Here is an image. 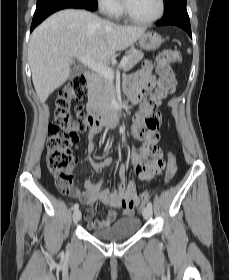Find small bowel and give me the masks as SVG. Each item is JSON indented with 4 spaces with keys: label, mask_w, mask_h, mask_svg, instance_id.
I'll return each instance as SVG.
<instances>
[{
    "label": "small bowel",
    "mask_w": 229,
    "mask_h": 280,
    "mask_svg": "<svg viewBox=\"0 0 229 280\" xmlns=\"http://www.w3.org/2000/svg\"><path fill=\"white\" fill-rule=\"evenodd\" d=\"M152 70L153 68L150 64H144L139 71L129 75L124 83L125 95L131 102L139 101L143 93L151 90L157 85V88L153 94V103L151 105H147L144 102L141 105L139 113H143L145 115H153V109L158 106L168 94L171 93L161 85L160 81L156 80L155 76L152 74ZM175 82L176 80L174 79V86ZM156 114L159 115L158 113ZM100 132L101 130H90L88 135L89 142L87 147V155L85 159L96 172L102 175L107 168L115 163V158L108 157L99 163L95 162L92 159L91 153L95 149L94 137L97 136ZM159 137L160 134L157 128L148 130L145 134L144 145L135 148L132 152L131 160L133 171L139 180L144 181L154 178V173L147 169L148 165L145 163V157L148 149L156 145ZM125 174V169L122 166H119V175L121 179L125 178ZM68 194L71 197L79 200L87 207L85 211V218L86 220H88L87 227L89 229L106 228L110 226L118 216L117 212L114 209H111L109 210L106 218L91 221L94 216L93 205L96 202H100L107 207L120 209L123 216L129 217L134 215L135 208L128 206L127 202L130 199L138 198L136 185L133 181L129 182L128 184H125L122 181L116 190L110 191L103 188L102 182L94 183L91 180H85L83 184V190L76 189L75 191L68 192Z\"/></svg>",
    "instance_id": "1"
}]
</instances>
